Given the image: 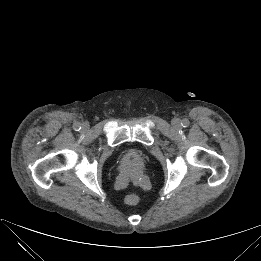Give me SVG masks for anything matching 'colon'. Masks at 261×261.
I'll return each mask as SVG.
<instances>
[{
	"label": "colon",
	"instance_id": "5ec220e1",
	"mask_svg": "<svg viewBox=\"0 0 261 261\" xmlns=\"http://www.w3.org/2000/svg\"><path fill=\"white\" fill-rule=\"evenodd\" d=\"M126 205L132 206L139 202V196L136 193H130L124 198Z\"/></svg>",
	"mask_w": 261,
	"mask_h": 261
}]
</instances>
